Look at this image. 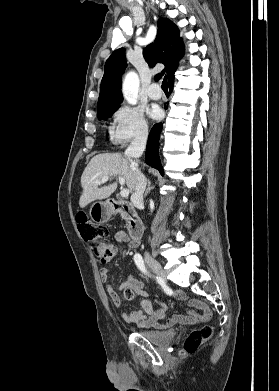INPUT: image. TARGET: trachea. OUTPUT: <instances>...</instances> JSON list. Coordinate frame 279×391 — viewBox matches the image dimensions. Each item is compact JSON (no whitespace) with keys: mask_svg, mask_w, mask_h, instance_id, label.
Listing matches in <instances>:
<instances>
[{"mask_svg":"<svg viewBox=\"0 0 279 391\" xmlns=\"http://www.w3.org/2000/svg\"><path fill=\"white\" fill-rule=\"evenodd\" d=\"M161 87H162L163 91H168L167 76L164 77Z\"/></svg>","mask_w":279,"mask_h":391,"instance_id":"3493384b","label":"trachea"}]
</instances>
